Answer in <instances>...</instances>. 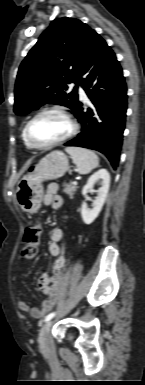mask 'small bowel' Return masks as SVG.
Listing matches in <instances>:
<instances>
[{
  "instance_id": "obj_1",
  "label": "small bowel",
  "mask_w": 145,
  "mask_h": 385,
  "mask_svg": "<svg viewBox=\"0 0 145 385\" xmlns=\"http://www.w3.org/2000/svg\"><path fill=\"white\" fill-rule=\"evenodd\" d=\"M57 191V184L51 183L48 185L46 193L43 196V203L46 206H50L52 209H59L63 205V199L57 194ZM63 236L64 232L60 228H55L51 232L49 252L52 256L58 257L54 263L62 260L65 266V257L62 255L63 249L60 245ZM37 285L39 290L47 296V298L42 302L40 308L30 306L21 298L18 301L19 309L35 319L41 318L53 308L62 288V273L56 274L53 272L52 276L42 274L38 278Z\"/></svg>"
}]
</instances>
